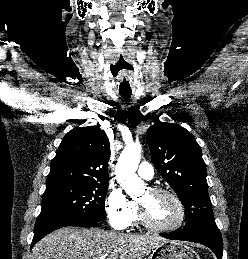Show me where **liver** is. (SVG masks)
<instances>
[{"label":"liver","instance_id":"obj_1","mask_svg":"<svg viewBox=\"0 0 248 259\" xmlns=\"http://www.w3.org/2000/svg\"><path fill=\"white\" fill-rule=\"evenodd\" d=\"M165 242L159 236L65 227L35 244L31 259H143Z\"/></svg>","mask_w":248,"mask_h":259}]
</instances>
